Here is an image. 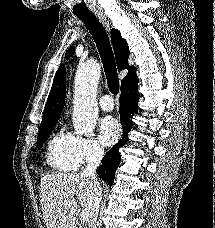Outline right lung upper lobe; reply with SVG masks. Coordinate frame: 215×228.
I'll list each match as a JSON object with an SVG mask.
<instances>
[{
  "mask_svg": "<svg viewBox=\"0 0 215 228\" xmlns=\"http://www.w3.org/2000/svg\"><path fill=\"white\" fill-rule=\"evenodd\" d=\"M111 39L118 69L120 71L128 69V74L126 75V77L135 74L136 68L128 65V58L130 53L127 42L121 37L120 32L116 29H111ZM126 77L123 78L121 84L124 82ZM65 92V68L63 65H61L56 72L54 82L49 93L46 106L44 108L41 124L53 123L58 121L65 103Z\"/></svg>",
  "mask_w": 215,
  "mask_h": 228,
  "instance_id": "obj_1",
  "label": "right lung upper lobe"
}]
</instances>
